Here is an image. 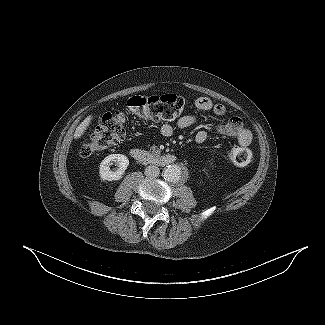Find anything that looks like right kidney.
I'll use <instances>...</instances> for the list:
<instances>
[{
    "mask_svg": "<svg viewBox=\"0 0 325 325\" xmlns=\"http://www.w3.org/2000/svg\"><path fill=\"white\" fill-rule=\"evenodd\" d=\"M115 163L118 169L112 171L110 166ZM129 165L128 158L123 154H110L105 157L100 163L99 174L102 180L106 181H117L122 178L125 170Z\"/></svg>",
    "mask_w": 325,
    "mask_h": 325,
    "instance_id": "1",
    "label": "right kidney"
}]
</instances>
